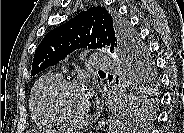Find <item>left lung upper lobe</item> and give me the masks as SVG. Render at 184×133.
<instances>
[{"instance_id": "1", "label": "left lung upper lobe", "mask_w": 184, "mask_h": 133, "mask_svg": "<svg viewBox=\"0 0 184 133\" xmlns=\"http://www.w3.org/2000/svg\"><path fill=\"white\" fill-rule=\"evenodd\" d=\"M111 45L122 68L118 107L123 115L146 110L155 101L158 78L147 48L129 24L101 6L81 11L62 26L47 33L35 50L31 76L56 65L79 48Z\"/></svg>"}]
</instances>
